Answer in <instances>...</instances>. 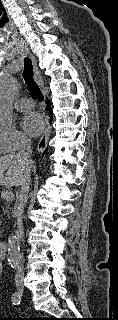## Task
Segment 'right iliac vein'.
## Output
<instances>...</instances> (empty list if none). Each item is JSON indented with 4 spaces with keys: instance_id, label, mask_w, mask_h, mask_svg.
Instances as JSON below:
<instances>
[{
    "instance_id": "right-iliac-vein-1",
    "label": "right iliac vein",
    "mask_w": 118,
    "mask_h": 320,
    "mask_svg": "<svg viewBox=\"0 0 118 320\" xmlns=\"http://www.w3.org/2000/svg\"><path fill=\"white\" fill-rule=\"evenodd\" d=\"M18 289L21 290V289H22V285H19V286H18Z\"/></svg>"
}]
</instances>
